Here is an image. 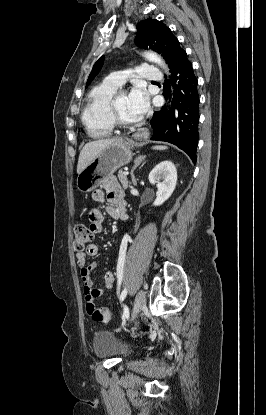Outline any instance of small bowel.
I'll return each instance as SVG.
<instances>
[{
    "mask_svg": "<svg viewBox=\"0 0 266 415\" xmlns=\"http://www.w3.org/2000/svg\"><path fill=\"white\" fill-rule=\"evenodd\" d=\"M107 198L108 205L106 206V213L114 219H121L126 221L128 219L126 213L125 193L117 180L113 177L107 178L103 184L102 189L95 190L92 193V199L95 202H102ZM89 223L93 233L99 234L104 229V216L98 208H93L89 212ZM98 246L96 244H89L82 250H77L75 254L76 265L80 269V276L83 282V289L85 294L87 310L90 313L95 308V301L103 294V289L94 288V283L91 278L92 272L96 269V263L91 262L87 264L88 257H94L98 254ZM105 287L111 288L115 281V274L111 271L105 274Z\"/></svg>",
    "mask_w": 266,
    "mask_h": 415,
    "instance_id": "c3829d8e",
    "label": "small bowel"
}]
</instances>
